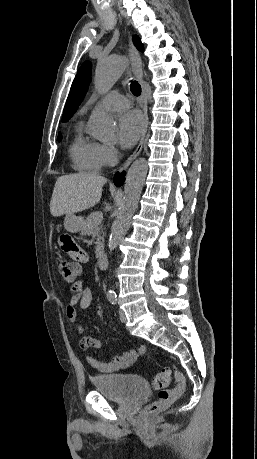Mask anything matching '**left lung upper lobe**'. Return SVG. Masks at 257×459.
<instances>
[{
	"label": "left lung upper lobe",
	"instance_id": "left-lung-upper-lobe-1",
	"mask_svg": "<svg viewBox=\"0 0 257 459\" xmlns=\"http://www.w3.org/2000/svg\"><path fill=\"white\" fill-rule=\"evenodd\" d=\"M133 41L137 49L143 51V45L137 36L133 37ZM91 66L89 61H85L78 70L64 108L63 117L65 120H69L72 117L88 90Z\"/></svg>",
	"mask_w": 257,
	"mask_h": 459
}]
</instances>
